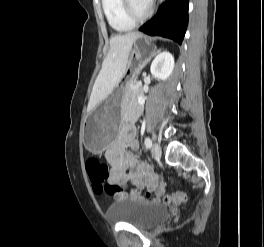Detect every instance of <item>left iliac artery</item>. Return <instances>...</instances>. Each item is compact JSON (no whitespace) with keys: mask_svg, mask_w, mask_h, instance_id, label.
<instances>
[{"mask_svg":"<svg viewBox=\"0 0 264 247\" xmlns=\"http://www.w3.org/2000/svg\"><path fill=\"white\" fill-rule=\"evenodd\" d=\"M144 143H145V146L147 148H151L152 147V141H151V139L149 137L145 138Z\"/></svg>","mask_w":264,"mask_h":247,"instance_id":"44dca946","label":"left iliac artery"}]
</instances>
